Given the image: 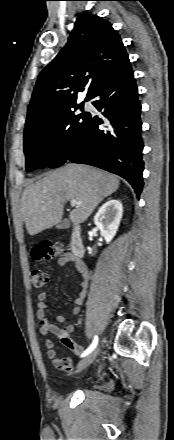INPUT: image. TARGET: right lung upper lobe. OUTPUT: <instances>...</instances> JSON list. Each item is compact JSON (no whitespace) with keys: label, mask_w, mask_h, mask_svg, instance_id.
Here are the masks:
<instances>
[{"label":"right lung upper lobe","mask_w":174,"mask_h":440,"mask_svg":"<svg viewBox=\"0 0 174 440\" xmlns=\"http://www.w3.org/2000/svg\"><path fill=\"white\" fill-rule=\"evenodd\" d=\"M127 61L120 35L107 20L80 15L65 47L38 76L24 132L76 105L84 87L89 100L101 82Z\"/></svg>","instance_id":"right-lung-upper-lobe-1"}]
</instances>
